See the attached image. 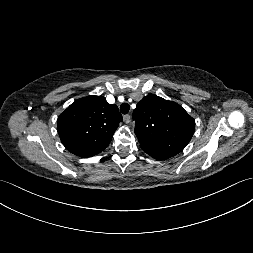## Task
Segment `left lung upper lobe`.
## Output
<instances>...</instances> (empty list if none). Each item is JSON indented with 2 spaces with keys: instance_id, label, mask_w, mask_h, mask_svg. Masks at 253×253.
<instances>
[{
  "instance_id": "1",
  "label": "left lung upper lobe",
  "mask_w": 253,
  "mask_h": 253,
  "mask_svg": "<svg viewBox=\"0 0 253 253\" xmlns=\"http://www.w3.org/2000/svg\"><path fill=\"white\" fill-rule=\"evenodd\" d=\"M133 119L140 147L147 153L175 156L194 134V119L179 104L156 95L138 102Z\"/></svg>"
}]
</instances>
